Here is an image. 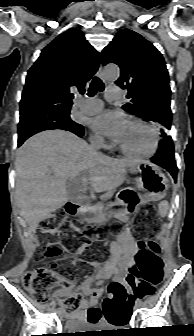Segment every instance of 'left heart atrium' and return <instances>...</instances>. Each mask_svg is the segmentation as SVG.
<instances>
[{"mask_svg": "<svg viewBox=\"0 0 194 336\" xmlns=\"http://www.w3.org/2000/svg\"><path fill=\"white\" fill-rule=\"evenodd\" d=\"M126 121L119 112L105 111L95 117L92 121V128L104 136L118 142L124 128Z\"/></svg>", "mask_w": 194, "mask_h": 336, "instance_id": "obj_1", "label": "left heart atrium"}]
</instances>
